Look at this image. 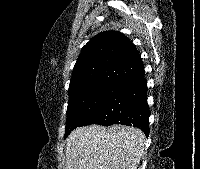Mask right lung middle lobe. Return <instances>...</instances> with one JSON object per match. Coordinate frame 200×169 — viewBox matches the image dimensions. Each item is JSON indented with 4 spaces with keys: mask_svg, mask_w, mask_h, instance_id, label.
<instances>
[{
    "mask_svg": "<svg viewBox=\"0 0 200 169\" xmlns=\"http://www.w3.org/2000/svg\"><path fill=\"white\" fill-rule=\"evenodd\" d=\"M117 83L115 81L99 82L70 97L66 112L65 138L108 98Z\"/></svg>",
    "mask_w": 200,
    "mask_h": 169,
    "instance_id": "right-lung-middle-lobe-1",
    "label": "right lung middle lobe"
}]
</instances>
